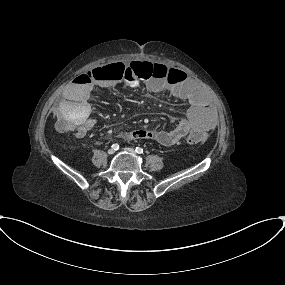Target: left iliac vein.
<instances>
[{
	"instance_id": "obj_1",
	"label": "left iliac vein",
	"mask_w": 285,
	"mask_h": 285,
	"mask_svg": "<svg viewBox=\"0 0 285 285\" xmlns=\"http://www.w3.org/2000/svg\"><path fill=\"white\" fill-rule=\"evenodd\" d=\"M124 150L129 152V153H131V154H134V155L136 154V152H135V150L133 148L125 147Z\"/></svg>"
}]
</instances>
